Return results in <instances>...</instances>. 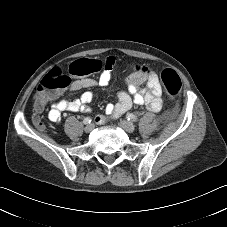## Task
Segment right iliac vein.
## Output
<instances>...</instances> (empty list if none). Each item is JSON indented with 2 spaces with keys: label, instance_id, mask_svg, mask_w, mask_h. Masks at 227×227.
Instances as JSON below:
<instances>
[{
  "label": "right iliac vein",
  "instance_id": "63e3f726",
  "mask_svg": "<svg viewBox=\"0 0 227 227\" xmlns=\"http://www.w3.org/2000/svg\"><path fill=\"white\" fill-rule=\"evenodd\" d=\"M93 128H94L93 124H88L85 126L84 130H85V132L89 133L93 130Z\"/></svg>",
  "mask_w": 227,
  "mask_h": 227
}]
</instances>
